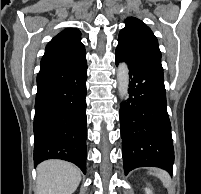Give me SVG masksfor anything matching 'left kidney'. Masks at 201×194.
I'll return each instance as SVG.
<instances>
[{"label":"left kidney","instance_id":"obj_1","mask_svg":"<svg viewBox=\"0 0 201 194\" xmlns=\"http://www.w3.org/2000/svg\"><path fill=\"white\" fill-rule=\"evenodd\" d=\"M145 192H146V194H153L149 188H145Z\"/></svg>","mask_w":201,"mask_h":194}]
</instances>
